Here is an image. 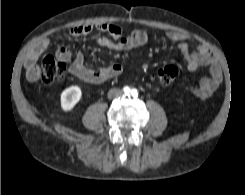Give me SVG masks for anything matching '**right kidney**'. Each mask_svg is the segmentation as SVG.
Returning a JSON list of instances; mask_svg holds the SVG:
<instances>
[{"mask_svg":"<svg viewBox=\"0 0 245 195\" xmlns=\"http://www.w3.org/2000/svg\"><path fill=\"white\" fill-rule=\"evenodd\" d=\"M82 90L79 86L74 85L65 89L61 93L60 104L61 108L68 112L71 111L75 105L80 101Z\"/></svg>","mask_w":245,"mask_h":195,"instance_id":"ca27d5eb","label":"right kidney"}]
</instances>
